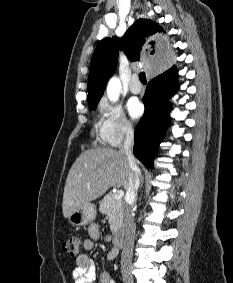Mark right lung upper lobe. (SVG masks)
Instances as JSON below:
<instances>
[{"mask_svg": "<svg viewBox=\"0 0 233 283\" xmlns=\"http://www.w3.org/2000/svg\"><path fill=\"white\" fill-rule=\"evenodd\" d=\"M165 31L156 22L139 19L127 30L120 39L116 36L107 37L97 45L89 70L88 103L97 105L101 99L106 83L116 68L119 50H123L131 60L138 61L145 54V65L151 70H168L175 54H183V49H169L170 38H164ZM163 43V44H161Z\"/></svg>", "mask_w": 233, "mask_h": 283, "instance_id": "right-lung-upper-lobe-1", "label": "right lung upper lobe"}]
</instances>
